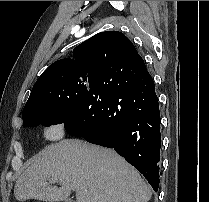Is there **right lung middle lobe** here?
<instances>
[{
	"label": "right lung middle lobe",
	"mask_w": 209,
	"mask_h": 202,
	"mask_svg": "<svg viewBox=\"0 0 209 202\" xmlns=\"http://www.w3.org/2000/svg\"><path fill=\"white\" fill-rule=\"evenodd\" d=\"M97 78L87 74H73L49 78L33 95L30 109L23 113L28 120L24 127L65 123L75 117Z\"/></svg>",
	"instance_id": "1"
}]
</instances>
